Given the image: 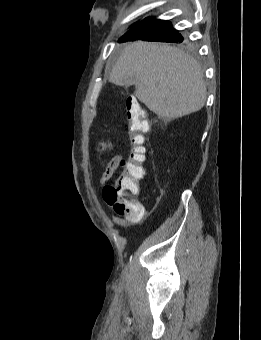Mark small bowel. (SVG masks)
I'll use <instances>...</instances> for the list:
<instances>
[{
	"label": "small bowel",
	"instance_id": "1",
	"mask_svg": "<svg viewBox=\"0 0 261 340\" xmlns=\"http://www.w3.org/2000/svg\"><path fill=\"white\" fill-rule=\"evenodd\" d=\"M107 147L108 143L106 141H101L98 143L96 150L98 152H102L106 150ZM121 160L122 156L119 154H116L111 158L110 162L108 163L105 171L103 172L100 178V184L102 186L113 177L118 167L120 166ZM144 214L145 210L141 215L138 216L125 215L123 217H113L112 220L117 226L121 228H128L131 225L138 223L143 218Z\"/></svg>",
	"mask_w": 261,
	"mask_h": 340
}]
</instances>
